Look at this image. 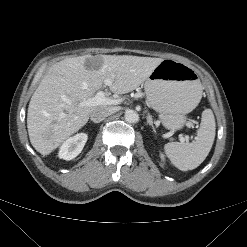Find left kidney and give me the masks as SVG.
I'll use <instances>...</instances> for the list:
<instances>
[{"mask_svg": "<svg viewBox=\"0 0 247 247\" xmlns=\"http://www.w3.org/2000/svg\"><path fill=\"white\" fill-rule=\"evenodd\" d=\"M161 159L164 161V155L163 154H161Z\"/></svg>", "mask_w": 247, "mask_h": 247, "instance_id": "5707ae66", "label": "left kidney"}]
</instances>
